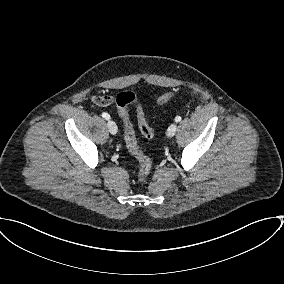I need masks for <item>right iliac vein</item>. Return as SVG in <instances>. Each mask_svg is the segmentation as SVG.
<instances>
[{"instance_id": "1", "label": "right iliac vein", "mask_w": 284, "mask_h": 284, "mask_svg": "<svg viewBox=\"0 0 284 284\" xmlns=\"http://www.w3.org/2000/svg\"><path fill=\"white\" fill-rule=\"evenodd\" d=\"M107 127H108L109 132L113 135H115L118 131L116 123L112 120H109L107 122Z\"/></svg>"}]
</instances>
